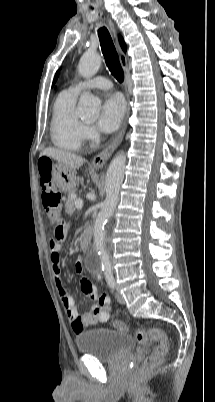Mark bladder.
I'll use <instances>...</instances> for the list:
<instances>
[{
	"label": "bladder",
	"instance_id": "obj_1",
	"mask_svg": "<svg viewBox=\"0 0 215 402\" xmlns=\"http://www.w3.org/2000/svg\"><path fill=\"white\" fill-rule=\"evenodd\" d=\"M75 342L80 353L101 362L115 361L135 347V340L131 335L106 328L83 331L76 336Z\"/></svg>",
	"mask_w": 215,
	"mask_h": 402
}]
</instances>
